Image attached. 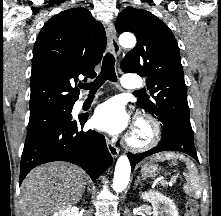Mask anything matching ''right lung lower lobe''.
<instances>
[{
	"instance_id": "1",
	"label": "right lung lower lobe",
	"mask_w": 221,
	"mask_h": 216,
	"mask_svg": "<svg viewBox=\"0 0 221 216\" xmlns=\"http://www.w3.org/2000/svg\"><path fill=\"white\" fill-rule=\"evenodd\" d=\"M73 107V105H72ZM87 116L61 122L36 139L25 143L19 184L34 167L52 161H67L83 168L92 180L107 170L112 157L105 137L93 130L80 131Z\"/></svg>"
}]
</instances>
